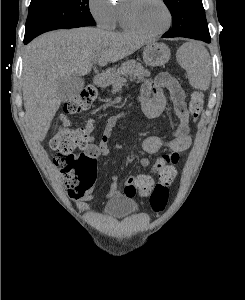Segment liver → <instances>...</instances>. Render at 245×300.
Listing matches in <instances>:
<instances>
[{"label":"liver","mask_w":245,"mask_h":300,"mask_svg":"<svg viewBox=\"0 0 245 300\" xmlns=\"http://www.w3.org/2000/svg\"><path fill=\"white\" fill-rule=\"evenodd\" d=\"M144 37L82 27L45 33L30 42L23 58V100L36 138L43 141L60 107L58 80L85 76L98 58L101 66L119 61L148 44Z\"/></svg>","instance_id":"1"}]
</instances>
